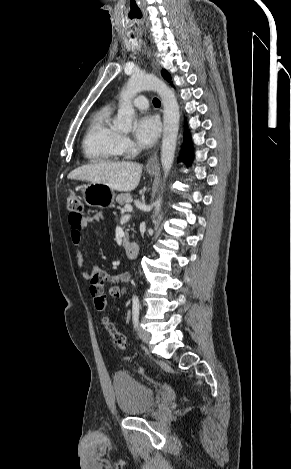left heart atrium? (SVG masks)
Wrapping results in <instances>:
<instances>
[{
  "label": "left heart atrium",
  "mask_w": 291,
  "mask_h": 469,
  "mask_svg": "<svg viewBox=\"0 0 291 469\" xmlns=\"http://www.w3.org/2000/svg\"><path fill=\"white\" fill-rule=\"evenodd\" d=\"M160 134V122L151 114L140 116L135 124V137L143 147H149L155 143Z\"/></svg>",
  "instance_id": "1"
}]
</instances>
